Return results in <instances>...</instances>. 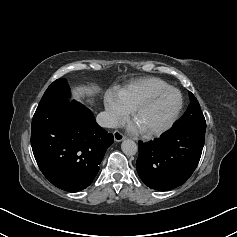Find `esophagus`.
<instances>
[{
	"mask_svg": "<svg viewBox=\"0 0 237 237\" xmlns=\"http://www.w3.org/2000/svg\"><path fill=\"white\" fill-rule=\"evenodd\" d=\"M113 136L116 142H120L125 139V136L118 130L114 131Z\"/></svg>",
	"mask_w": 237,
	"mask_h": 237,
	"instance_id": "34e87169",
	"label": "esophagus"
}]
</instances>
